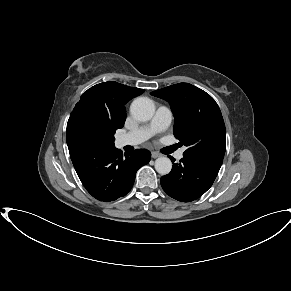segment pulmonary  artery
<instances>
[{"instance_id": "1", "label": "pulmonary artery", "mask_w": 291, "mask_h": 291, "mask_svg": "<svg viewBox=\"0 0 291 291\" xmlns=\"http://www.w3.org/2000/svg\"><path fill=\"white\" fill-rule=\"evenodd\" d=\"M172 111L167 106H159L151 122L139 127L133 131L123 134L117 138V145L123 147L126 145H137L148 140L151 136L158 132L165 131L172 122ZM183 157V150L176 154L177 159Z\"/></svg>"}]
</instances>
